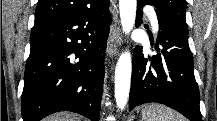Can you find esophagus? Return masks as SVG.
<instances>
[{
  "label": "esophagus",
  "mask_w": 217,
  "mask_h": 121,
  "mask_svg": "<svg viewBox=\"0 0 217 121\" xmlns=\"http://www.w3.org/2000/svg\"><path fill=\"white\" fill-rule=\"evenodd\" d=\"M120 37V27L115 26L110 34L108 43V55L113 58L117 54V44Z\"/></svg>",
  "instance_id": "1"
}]
</instances>
